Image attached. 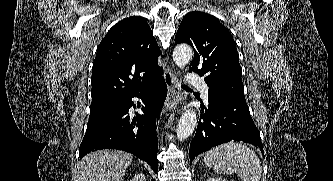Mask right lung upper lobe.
<instances>
[{"mask_svg":"<svg viewBox=\"0 0 333 181\" xmlns=\"http://www.w3.org/2000/svg\"><path fill=\"white\" fill-rule=\"evenodd\" d=\"M160 54L143 17L133 16L115 24L97 47L90 111L110 107L152 87L162 78Z\"/></svg>","mask_w":333,"mask_h":181,"instance_id":"1","label":"right lung upper lobe"}]
</instances>
